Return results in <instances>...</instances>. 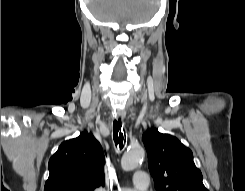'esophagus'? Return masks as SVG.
I'll use <instances>...</instances> for the list:
<instances>
[{"instance_id":"1","label":"esophagus","mask_w":245,"mask_h":191,"mask_svg":"<svg viewBox=\"0 0 245 191\" xmlns=\"http://www.w3.org/2000/svg\"><path fill=\"white\" fill-rule=\"evenodd\" d=\"M124 116H125V112L121 111L118 112L115 117L117 118V117H124Z\"/></svg>"}]
</instances>
